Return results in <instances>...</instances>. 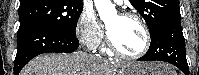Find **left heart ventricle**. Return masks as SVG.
Instances as JSON below:
<instances>
[{"mask_svg": "<svg viewBox=\"0 0 199 75\" xmlns=\"http://www.w3.org/2000/svg\"><path fill=\"white\" fill-rule=\"evenodd\" d=\"M108 33L114 44L126 53H137L144 46V32L134 19L115 16L107 23Z\"/></svg>", "mask_w": 199, "mask_h": 75, "instance_id": "obj_1", "label": "left heart ventricle"}]
</instances>
